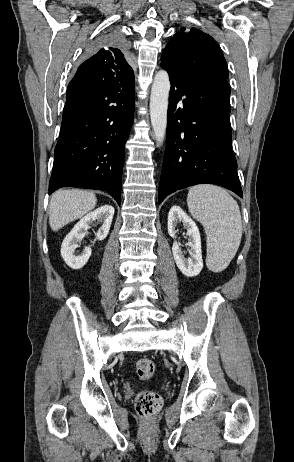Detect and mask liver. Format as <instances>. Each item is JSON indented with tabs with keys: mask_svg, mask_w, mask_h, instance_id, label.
<instances>
[{
	"mask_svg": "<svg viewBox=\"0 0 294 462\" xmlns=\"http://www.w3.org/2000/svg\"><path fill=\"white\" fill-rule=\"evenodd\" d=\"M97 203L93 192L71 189L56 191L49 205V224L58 231L68 223L83 217L95 208Z\"/></svg>",
	"mask_w": 294,
	"mask_h": 462,
	"instance_id": "obj_1",
	"label": "liver"
}]
</instances>
